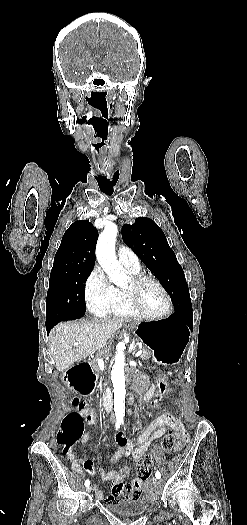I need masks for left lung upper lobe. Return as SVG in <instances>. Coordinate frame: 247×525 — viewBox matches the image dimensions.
I'll list each match as a JSON object with an SVG mask.
<instances>
[{
	"label": "left lung upper lobe",
	"mask_w": 247,
	"mask_h": 525,
	"mask_svg": "<svg viewBox=\"0 0 247 525\" xmlns=\"http://www.w3.org/2000/svg\"><path fill=\"white\" fill-rule=\"evenodd\" d=\"M123 241L144 262L171 296L174 309H192L181 265L160 227L150 218L139 217L122 227Z\"/></svg>",
	"instance_id": "5c2ea615"
}]
</instances>
